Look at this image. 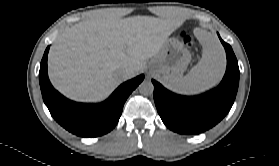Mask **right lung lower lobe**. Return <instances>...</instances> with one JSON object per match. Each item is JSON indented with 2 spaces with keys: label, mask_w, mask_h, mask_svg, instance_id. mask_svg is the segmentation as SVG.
I'll return each instance as SVG.
<instances>
[{
  "label": "right lung lower lobe",
  "mask_w": 279,
  "mask_h": 166,
  "mask_svg": "<svg viewBox=\"0 0 279 166\" xmlns=\"http://www.w3.org/2000/svg\"><path fill=\"white\" fill-rule=\"evenodd\" d=\"M49 48L50 46L46 48L41 61L39 82L44 103L52 117L62 127L80 137H97L110 132L121 116L125 101L143 81L144 75L123 83L102 103H76L58 93L48 79L47 57Z\"/></svg>",
  "instance_id": "right-lung-lower-lobe-1"
}]
</instances>
